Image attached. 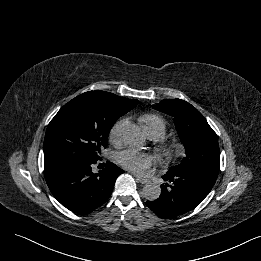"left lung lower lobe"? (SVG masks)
Returning a JSON list of instances; mask_svg holds the SVG:
<instances>
[{"instance_id": "0a47b994", "label": "left lung lower lobe", "mask_w": 261, "mask_h": 261, "mask_svg": "<svg viewBox=\"0 0 261 261\" xmlns=\"http://www.w3.org/2000/svg\"><path fill=\"white\" fill-rule=\"evenodd\" d=\"M216 174L203 169L189 168L167 172L162 176L161 195L147 206L158 216L174 218L198 206L214 186Z\"/></svg>"}]
</instances>
